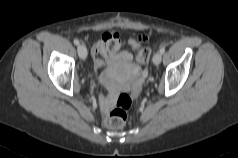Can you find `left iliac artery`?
<instances>
[{"mask_svg": "<svg viewBox=\"0 0 238 158\" xmlns=\"http://www.w3.org/2000/svg\"><path fill=\"white\" fill-rule=\"evenodd\" d=\"M159 52H160L161 54H163V53L165 52V48H164V47H161L160 50H159Z\"/></svg>", "mask_w": 238, "mask_h": 158, "instance_id": "1", "label": "left iliac artery"}]
</instances>
